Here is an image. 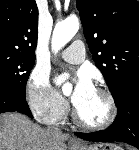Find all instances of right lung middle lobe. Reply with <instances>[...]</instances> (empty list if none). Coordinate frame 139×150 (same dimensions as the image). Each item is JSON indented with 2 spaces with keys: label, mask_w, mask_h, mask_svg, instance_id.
Here are the masks:
<instances>
[{
  "label": "right lung middle lobe",
  "mask_w": 139,
  "mask_h": 150,
  "mask_svg": "<svg viewBox=\"0 0 139 150\" xmlns=\"http://www.w3.org/2000/svg\"><path fill=\"white\" fill-rule=\"evenodd\" d=\"M35 57L0 50V89L25 95L26 83Z\"/></svg>",
  "instance_id": "right-lung-middle-lobe-1"
}]
</instances>
